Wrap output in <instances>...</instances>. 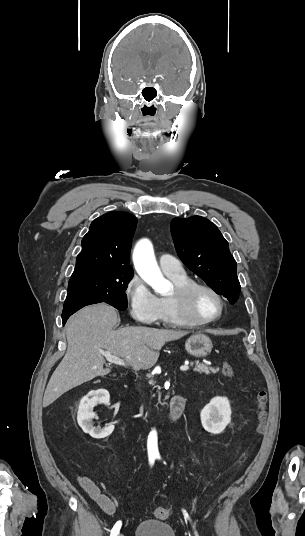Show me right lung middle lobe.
Listing matches in <instances>:
<instances>
[{
  "instance_id": "obj_1",
  "label": "right lung middle lobe",
  "mask_w": 305,
  "mask_h": 536,
  "mask_svg": "<svg viewBox=\"0 0 305 536\" xmlns=\"http://www.w3.org/2000/svg\"><path fill=\"white\" fill-rule=\"evenodd\" d=\"M133 273L87 274L71 277L64 309L105 302L119 310L127 308L126 289Z\"/></svg>"
}]
</instances>
